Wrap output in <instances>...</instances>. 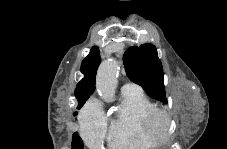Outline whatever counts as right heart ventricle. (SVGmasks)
I'll return each mask as SVG.
<instances>
[{
    "instance_id": "right-heart-ventricle-1",
    "label": "right heart ventricle",
    "mask_w": 227,
    "mask_h": 149,
    "mask_svg": "<svg viewBox=\"0 0 227 149\" xmlns=\"http://www.w3.org/2000/svg\"><path fill=\"white\" fill-rule=\"evenodd\" d=\"M155 105L141 90L122 91L121 101L108 120V139L119 149H153L158 144L146 127Z\"/></svg>"
}]
</instances>
